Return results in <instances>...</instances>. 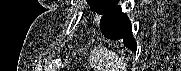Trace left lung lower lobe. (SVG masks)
<instances>
[{
	"label": "left lung lower lobe",
	"instance_id": "obj_1",
	"mask_svg": "<svg viewBox=\"0 0 181 71\" xmlns=\"http://www.w3.org/2000/svg\"><path fill=\"white\" fill-rule=\"evenodd\" d=\"M116 5L103 14L100 20L101 32L109 39H121L126 47L136 52L137 44L132 35L131 23L121 7Z\"/></svg>",
	"mask_w": 181,
	"mask_h": 71
}]
</instances>
